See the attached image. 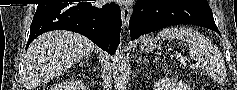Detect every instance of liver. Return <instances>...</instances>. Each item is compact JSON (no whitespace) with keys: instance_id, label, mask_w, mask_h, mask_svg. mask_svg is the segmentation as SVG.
<instances>
[{"instance_id":"6515ba94","label":"liver","mask_w":237,"mask_h":90,"mask_svg":"<svg viewBox=\"0 0 237 90\" xmlns=\"http://www.w3.org/2000/svg\"><path fill=\"white\" fill-rule=\"evenodd\" d=\"M94 48L93 42L85 36L66 30H54L38 36L25 54V88L34 90L46 84L85 56H90Z\"/></svg>"}]
</instances>
